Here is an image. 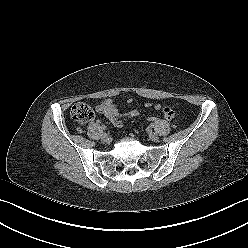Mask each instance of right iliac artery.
Listing matches in <instances>:
<instances>
[{"instance_id":"right-iliac-artery-1","label":"right iliac artery","mask_w":248,"mask_h":248,"mask_svg":"<svg viewBox=\"0 0 248 248\" xmlns=\"http://www.w3.org/2000/svg\"><path fill=\"white\" fill-rule=\"evenodd\" d=\"M107 129V127L105 126V125H102V130H106Z\"/></svg>"}]
</instances>
